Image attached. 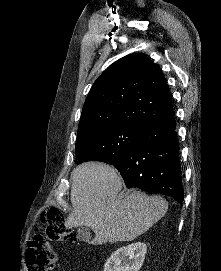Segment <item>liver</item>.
Listing matches in <instances>:
<instances>
[{
  "mask_svg": "<svg viewBox=\"0 0 221 271\" xmlns=\"http://www.w3.org/2000/svg\"><path fill=\"white\" fill-rule=\"evenodd\" d=\"M122 187L115 167L100 161L80 163L72 171V211L65 225L91 227L95 237L89 243L102 245L107 241H132L166 213L164 197L137 189L119 197Z\"/></svg>",
  "mask_w": 221,
  "mask_h": 271,
  "instance_id": "obj_1",
  "label": "liver"
}]
</instances>
